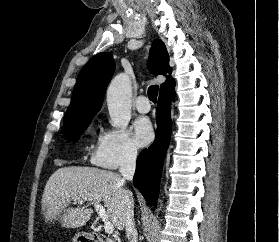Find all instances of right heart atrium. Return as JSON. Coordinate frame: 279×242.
Instances as JSON below:
<instances>
[{"label":"right heart atrium","instance_id":"d8ad5b80","mask_svg":"<svg viewBox=\"0 0 279 242\" xmlns=\"http://www.w3.org/2000/svg\"><path fill=\"white\" fill-rule=\"evenodd\" d=\"M137 156L138 147L128 131L107 129L92 152L91 162L99 167L117 169L133 163Z\"/></svg>","mask_w":279,"mask_h":242}]
</instances>
